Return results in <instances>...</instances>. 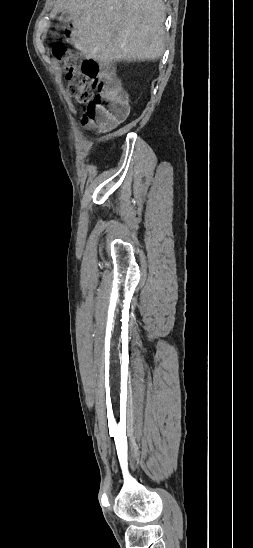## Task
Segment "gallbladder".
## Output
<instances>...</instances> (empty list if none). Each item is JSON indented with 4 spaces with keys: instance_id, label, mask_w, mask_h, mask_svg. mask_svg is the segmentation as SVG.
Masks as SVG:
<instances>
[{
    "instance_id": "bac80fb5",
    "label": "gallbladder",
    "mask_w": 253,
    "mask_h": 548,
    "mask_svg": "<svg viewBox=\"0 0 253 548\" xmlns=\"http://www.w3.org/2000/svg\"><path fill=\"white\" fill-rule=\"evenodd\" d=\"M70 19H71V16L69 15L68 12H63V14L60 17L61 23H65V22L69 21Z\"/></svg>"
}]
</instances>
